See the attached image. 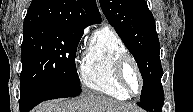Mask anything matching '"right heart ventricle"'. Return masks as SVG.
<instances>
[{
    "instance_id": "1",
    "label": "right heart ventricle",
    "mask_w": 193,
    "mask_h": 112,
    "mask_svg": "<svg viewBox=\"0 0 193 112\" xmlns=\"http://www.w3.org/2000/svg\"><path fill=\"white\" fill-rule=\"evenodd\" d=\"M124 52H127L125 44L113 29L103 26L97 30L81 62L83 85L112 98L127 99L129 95L118 83L114 72L115 60Z\"/></svg>"
}]
</instances>
